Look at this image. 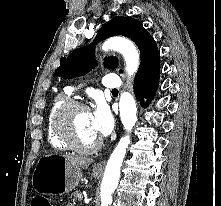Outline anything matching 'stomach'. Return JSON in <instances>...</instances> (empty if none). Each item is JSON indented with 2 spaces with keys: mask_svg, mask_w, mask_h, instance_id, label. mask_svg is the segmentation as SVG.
<instances>
[{
  "mask_svg": "<svg viewBox=\"0 0 221 206\" xmlns=\"http://www.w3.org/2000/svg\"><path fill=\"white\" fill-rule=\"evenodd\" d=\"M98 172H93L94 177H99ZM82 178L80 167L71 165L62 155L42 156L32 175V186L43 194L63 195L72 191Z\"/></svg>",
  "mask_w": 221,
  "mask_h": 206,
  "instance_id": "stomach-1",
  "label": "stomach"
}]
</instances>
